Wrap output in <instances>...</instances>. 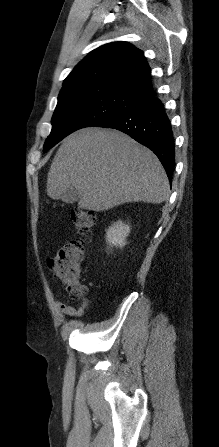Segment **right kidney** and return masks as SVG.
<instances>
[{
    "instance_id": "1",
    "label": "right kidney",
    "mask_w": 219,
    "mask_h": 447,
    "mask_svg": "<svg viewBox=\"0 0 219 447\" xmlns=\"http://www.w3.org/2000/svg\"><path fill=\"white\" fill-rule=\"evenodd\" d=\"M130 233V226L117 221L106 232V241L114 246L122 247L126 244V237Z\"/></svg>"
}]
</instances>
